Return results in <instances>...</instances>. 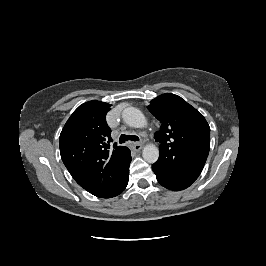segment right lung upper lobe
Here are the masks:
<instances>
[{
  "instance_id": "1",
  "label": "right lung upper lobe",
  "mask_w": 266,
  "mask_h": 266,
  "mask_svg": "<svg viewBox=\"0 0 266 266\" xmlns=\"http://www.w3.org/2000/svg\"><path fill=\"white\" fill-rule=\"evenodd\" d=\"M107 103L96 100L80 105L59 138L60 154L75 181L91 194L105 198L117 185L131 155L125 146L110 147L106 123Z\"/></svg>"
}]
</instances>
